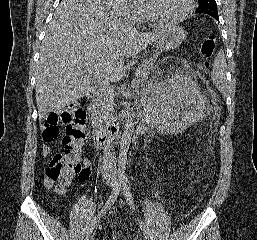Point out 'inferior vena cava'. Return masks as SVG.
I'll return each instance as SVG.
<instances>
[{"mask_svg":"<svg viewBox=\"0 0 257 240\" xmlns=\"http://www.w3.org/2000/svg\"><path fill=\"white\" fill-rule=\"evenodd\" d=\"M103 169L106 171H113L114 169V158L111 154H108V156L103 161Z\"/></svg>","mask_w":257,"mask_h":240,"instance_id":"obj_1","label":"inferior vena cava"}]
</instances>
